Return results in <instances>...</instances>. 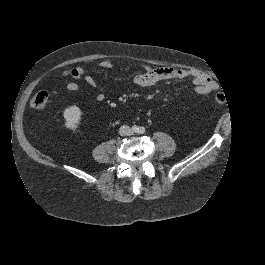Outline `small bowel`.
<instances>
[{
	"label": "small bowel",
	"mask_w": 265,
	"mask_h": 265,
	"mask_svg": "<svg viewBox=\"0 0 265 265\" xmlns=\"http://www.w3.org/2000/svg\"><path fill=\"white\" fill-rule=\"evenodd\" d=\"M102 69H112L114 64L111 61L105 60L99 64ZM142 71L136 74L133 78L134 83L139 87H148L155 85L160 81L174 80V79H190L195 85V90L198 94H208L218 88V84L208 77L206 74L193 71L181 70L170 67L151 68L149 66H142ZM70 76L76 80L84 79L87 84L97 88V82L93 76L86 74V68L83 66L75 67L69 70ZM66 89L73 93H78L81 90L80 85L71 81L66 84ZM98 101H104L105 95L99 92L96 96Z\"/></svg>",
	"instance_id": "c3829d8e"
}]
</instances>
